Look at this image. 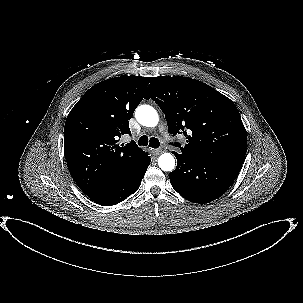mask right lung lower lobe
<instances>
[{"label": "right lung lower lobe", "instance_id": "98d812e1", "mask_svg": "<svg viewBox=\"0 0 303 303\" xmlns=\"http://www.w3.org/2000/svg\"><path fill=\"white\" fill-rule=\"evenodd\" d=\"M150 161V156L146 155L144 160L126 178L112 188L89 197L90 200L103 206L116 205L122 202L138 190Z\"/></svg>", "mask_w": 303, "mask_h": 303}]
</instances>
